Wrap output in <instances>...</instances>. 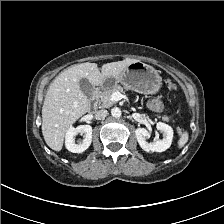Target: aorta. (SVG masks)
Returning <instances> with one entry per match:
<instances>
[{
	"instance_id": "aorta-1",
	"label": "aorta",
	"mask_w": 224,
	"mask_h": 224,
	"mask_svg": "<svg viewBox=\"0 0 224 224\" xmlns=\"http://www.w3.org/2000/svg\"><path fill=\"white\" fill-rule=\"evenodd\" d=\"M111 115L115 118H119L121 116V110L118 107H114L111 109Z\"/></svg>"
}]
</instances>
